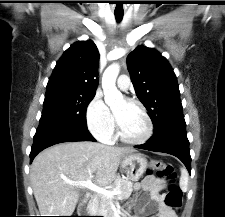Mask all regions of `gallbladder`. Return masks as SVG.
<instances>
[{"instance_id":"1","label":"gallbladder","mask_w":225,"mask_h":217,"mask_svg":"<svg viewBox=\"0 0 225 217\" xmlns=\"http://www.w3.org/2000/svg\"><path fill=\"white\" fill-rule=\"evenodd\" d=\"M85 198V193L84 192H80L79 193V202H82Z\"/></svg>"}]
</instances>
